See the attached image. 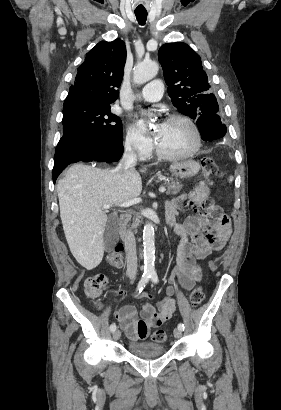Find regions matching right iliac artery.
<instances>
[{"mask_svg": "<svg viewBox=\"0 0 281 410\" xmlns=\"http://www.w3.org/2000/svg\"><path fill=\"white\" fill-rule=\"evenodd\" d=\"M149 278H150L149 274H143L140 281H139V283H138V286H137L136 290H139V291L143 290V288L148 283ZM115 330H116V325H115V323H113V324L110 325V331L114 332Z\"/></svg>", "mask_w": 281, "mask_h": 410, "instance_id": "right-iliac-artery-1", "label": "right iliac artery"}]
</instances>
